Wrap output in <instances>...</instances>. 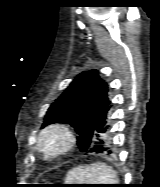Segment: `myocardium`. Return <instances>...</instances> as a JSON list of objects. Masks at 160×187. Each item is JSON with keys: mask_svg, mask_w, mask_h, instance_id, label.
Wrapping results in <instances>:
<instances>
[{"mask_svg": "<svg viewBox=\"0 0 160 187\" xmlns=\"http://www.w3.org/2000/svg\"><path fill=\"white\" fill-rule=\"evenodd\" d=\"M75 144V135L66 125L54 123L43 128L38 136L36 150L46 160H54L69 152Z\"/></svg>", "mask_w": 160, "mask_h": 187, "instance_id": "1", "label": "myocardium"}]
</instances>
